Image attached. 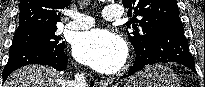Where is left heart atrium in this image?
I'll use <instances>...</instances> for the list:
<instances>
[{
  "label": "left heart atrium",
  "instance_id": "obj_1",
  "mask_svg": "<svg viewBox=\"0 0 205 87\" xmlns=\"http://www.w3.org/2000/svg\"><path fill=\"white\" fill-rule=\"evenodd\" d=\"M73 54L80 63L99 72L114 73L124 64L127 48L119 36L105 29H93L76 37Z\"/></svg>",
  "mask_w": 205,
  "mask_h": 87
}]
</instances>
